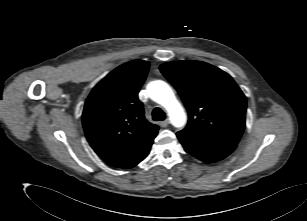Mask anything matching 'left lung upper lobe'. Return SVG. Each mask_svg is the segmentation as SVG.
I'll return each instance as SVG.
<instances>
[{
	"label": "left lung upper lobe",
	"instance_id": "left-lung-upper-lobe-1",
	"mask_svg": "<svg viewBox=\"0 0 307 221\" xmlns=\"http://www.w3.org/2000/svg\"><path fill=\"white\" fill-rule=\"evenodd\" d=\"M180 94L189 115L180 132L238 143L245 128L246 97L229 74L201 61H173L160 66Z\"/></svg>",
	"mask_w": 307,
	"mask_h": 221
}]
</instances>
